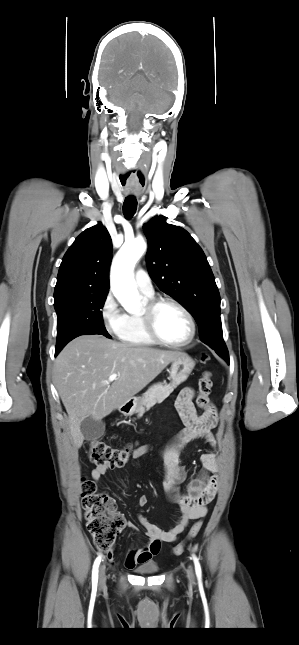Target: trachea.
<instances>
[{
  "label": "trachea",
  "mask_w": 299,
  "mask_h": 645,
  "mask_svg": "<svg viewBox=\"0 0 299 645\" xmlns=\"http://www.w3.org/2000/svg\"><path fill=\"white\" fill-rule=\"evenodd\" d=\"M137 209V200L135 197L129 196L125 198L123 203V214L127 219L133 217Z\"/></svg>",
  "instance_id": "3493384b"
}]
</instances>
